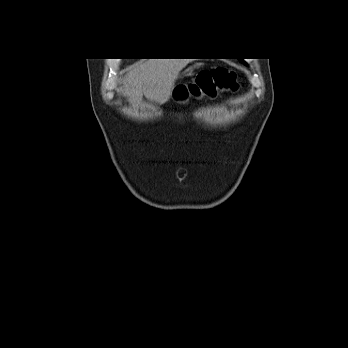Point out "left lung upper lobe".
I'll return each instance as SVG.
<instances>
[{
  "mask_svg": "<svg viewBox=\"0 0 348 348\" xmlns=\"http://www.w3.org/2000/svg\"><path fill=\"white\" fill-rule=\"evenodd\" d=\"M241 62H243V60L242 59H239Z\"/></svg>",
  "mask_w": 348,
  "mask_h": 348,
  "instance_id": "5c2ea615",
  "label": "left lung upper lobe"
}]
</instances>
